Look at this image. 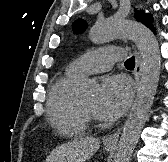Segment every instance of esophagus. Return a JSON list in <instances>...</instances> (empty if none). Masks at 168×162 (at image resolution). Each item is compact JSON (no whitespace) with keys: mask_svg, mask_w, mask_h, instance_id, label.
Listing matches in <instances>:
<instances>
[{"mask_svg":"<svg viewBox=\"0 0 168 162\" xmlns=\"http://www.w3.org/2000/svg\"><path fill=\"white\" fill-rule=\"evenodd\" d=\"M135 62H136V65H135V69H134V77H135L136 87H138L139 82H140L141 73H142V59H141V56L137 50H135ZM121 130H122V126L118 127L113 134L107 136L104 139V143L106 145L117 144Z\"/></svg>","mask_w":168,"mask_h":162,"instance_id":"obj_1","label":"esophagus"}]
</instances>
